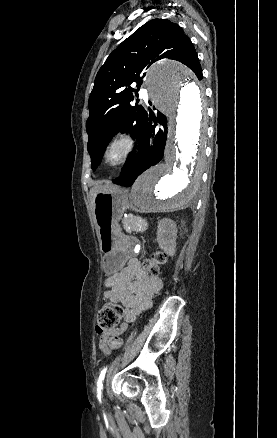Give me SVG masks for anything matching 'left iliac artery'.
<instances>
[{"mask_svg": "<svg viewBox=\"0 0 277 438\" xmlns=\"http://www.w3.org/2000/svg\"><path fill=\"white\" fill-rule=\"evenodd\" d=\"M106 371H107V367H105L101 371V373L99 375V378H98V381H97V397H98L99 400H101V398H102L103 380H104Z\"/></svg>", "mask_w": 277, "mask_h": 438, "instance_id": "44dca946", "label": "left iliac artery"}]
</instances>
